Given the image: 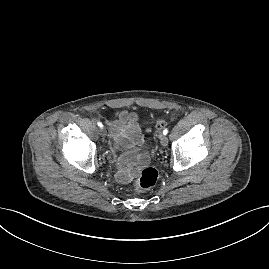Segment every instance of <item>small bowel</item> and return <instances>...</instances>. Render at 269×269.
Segmentation results:
<instances>
[{
    "mask_svg": "<svg viewBox=\"0 0 269 269\" xmlns=\"http://www.w3.org/2000/svg\"><path fill=\"white\" fill-rule=\"evenodd\" d=\"M111 135L117 146H124L128 152L117 162V180L130 182L137 176L139 168L148 163L146 154L135 155L136 148L145 144L139 125V116L134 112L122 111L111 124Z\"/></svg>",
    "mask_w": 269,
    "mask_h": 269,
    "instance_id": "obj_1",
    "label": "small bowel"
}]
</instances>
